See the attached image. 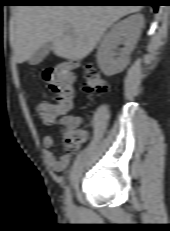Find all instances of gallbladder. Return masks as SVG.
Returning <instances> with one entry per match:
<instances>
[{
    "label": "gallbladder",
    "instance_id": "gallbladder-1",
    "mask_svg": "<svg viewBox=\"0 0 170 231\" xmlns=\"http://www.w3.org/2000/svg\"><path fill=\"white\" fill-rule=\"evenodd\" d=\"M52 48H53L52 42L44 43L29 59L30 65L35 66L41 63L44 60V58L49 54V52L52 50Z\"/></svg>",
    "mask_w": 170,
    "mask_h": 231
}]
</instances>
